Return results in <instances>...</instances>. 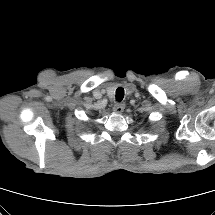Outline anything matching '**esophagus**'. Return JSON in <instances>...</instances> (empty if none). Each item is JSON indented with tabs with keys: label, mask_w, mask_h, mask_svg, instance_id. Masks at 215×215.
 Masks as SVG:
<instances>
[{
	"label": "esophagus",
	"mask_w": 215,
	"mask_h": 215,
	"mask_svg": "<svg viewBox=\"0 0 215 215\" xmlns=\"http://www.w3.org/2000/svg\"><path fill=\"white\" fill-rule=\"evenodd\" d=\"M124 108H125L124 103H116L113 107V111L116 113H121L123 112Z\"/></svg>",
	"instance_id": "obj_1"
}]
</instances>
